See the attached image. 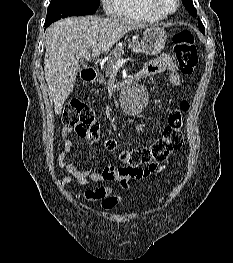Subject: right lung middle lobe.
<instances>
[{"instance_id":"obj_1","label":"right lung middle lobe","mask_w":233,"mask_h":263,"mask_svg":"<svg viewBox=\"0 0 233 263\" xmlns=\"http://www.w3.org/2000/svg\"><path fill=\"white\" fill-rule=\"evenodd\" d=\"M100 0H51L46 21L54 22L68 16L93 14Z\"/></svg>"}]
</instances>
